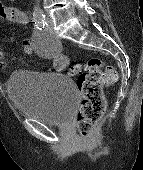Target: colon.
Segmentation results:
<instances>
[{
    "instance_id": "5ec220e1",
    "label": "colon",
    "mask_w": 143,
    "mask_h": 170,
    "mask_svg": "<svg viewBox=\"0 0 143 170\" xmlns=\"http://www.w3.org/2000/svg\"><path fill=\"white\" fill-rule=\"evenodd\" d=\"M64 70L67 62L58 58ZM69 73L78 78V89L81 93V104L77 115V129L81 138L86 139L94 127L101 121L106 101L103 87L118 80L117 71L105 66L98 58H91L85 64L73 65Z\"/></svg>"
}]
</instances>
